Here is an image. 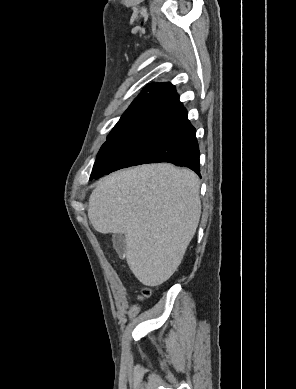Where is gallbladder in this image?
<instances>
[{
	"label": "gallbladder",
	"instance_id": "1",
	"mask_svg": "<svg viewBox=\"0 0 296 389\" xmlns=\"http://www.w3.org/2000/svg\"><path fill=\"white\" fill-rule=\"evenodd\" d=\"M112 243L113 247L116 250L117 254L119 257H124L126 253V238L125 235L120 233V234H114L112 237Z\"/></svg>",
	"mask_w": 296,
	"mask_h": 389
}]
</instances>
